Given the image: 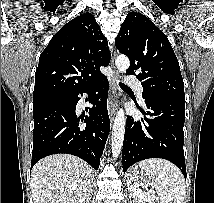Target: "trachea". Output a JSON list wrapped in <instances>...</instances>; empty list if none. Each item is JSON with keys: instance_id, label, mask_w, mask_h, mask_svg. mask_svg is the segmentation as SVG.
<instances>
[{"instance_id": "1", "label": "trachea", "mask_w": 214, "mask_h": 203, "mask_svg": "<svg viewBox=\"0 0 214 203\" xmlns=\"http://www.w3.org/2000/svg\"><path fill=\"white\" fill-rule=\"evenodd\" d=\"M119 85H120L122 88L130 89L128 86H126V85L123 84V83H119Z\"/></svg>"}]
</instances>
